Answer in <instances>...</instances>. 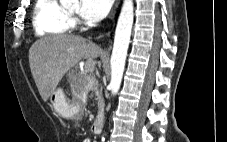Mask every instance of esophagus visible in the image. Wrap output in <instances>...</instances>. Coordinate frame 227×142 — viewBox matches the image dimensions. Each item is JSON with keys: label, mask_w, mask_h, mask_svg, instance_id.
<instances>
[{"label": "esophagus", "mask_w": 227, "mask_h": 142, "mask_svg": "<svg viewBox=\"0 0 227 142\" xmlns=\"http://www.w3.org/2000/svg\"><path fill=\"white\" fill-rule=\"evenodd\" d=\"M119 4H120V0H116L115 4H114V6L111 10L110 16H109V18H110V20L112 21L113 24H114V21H115V16H116ZM107 36L108 37L110 36V32L107 34Z\"/></svg>", "instance_id": "esophagus-1"}]
</instances>
